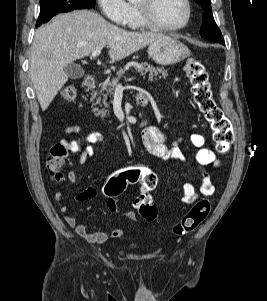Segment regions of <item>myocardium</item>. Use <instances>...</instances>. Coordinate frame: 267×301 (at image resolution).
Instances as JSON below:
<instances>
[{
    "mask_svg": "<svg viewBox=\"0 0 267 301\" xmlns=\"http://www.w3.org/2000/svg\"><path fill=\"white\" fill-rule=\"evenodd\" d=\"M186 6V16L185 19L177 25H164L159 22L152 13V8L155 0H142L140 4H135L139 18L141 22L148 28L159 30V31H177L186 27L192 17V6L190 0H183Z\"/></svg>",
    "mask_w": 267,
    "mask_h": 301,
    "instance_id": "1",
    "label": "myocardium"
}]
</instances>
